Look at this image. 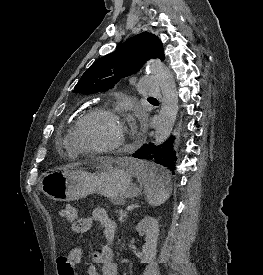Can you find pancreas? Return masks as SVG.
Wrapping results in <instances>:
<instances>
[{
    "label": "pancreas",
    "mask_w": 263,
    "mask_h": 275,
    "mask_svg": "<svg viewBox=\"0 0 263 275\" xmlns=\"http://www.w3.org/2000/svg\"><path fill=\"white\" fill-rule=\"evenodd\" d=\"M118 215H119V221H120V222H123V221H124V218L127 217V212H126V211H123V210H119V211H118Z\"/></svg>",
    "instance_id": "pancreas-1"
}]
</instances>
